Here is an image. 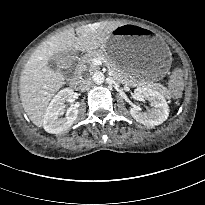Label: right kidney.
<instances>
[{"instance_id":"obj_1","label":"right kidney","mask_w":205,"mask_h":205,"mask_svg":"<svg viewBox=\"0 0 205 205\" xmlns=\"http://www.w3.org/2000/svg\"><path fill=\"white\" fill-rule=\"evenodd\" d=\"M73 94L74 91L71 88H65L54 96L43 118V128L46 132L58 134L73 125L78 115L77 106H71L68 108L65 117L59 118L65 111V103L72 99Z\"/></svg>"}]
</instances>
